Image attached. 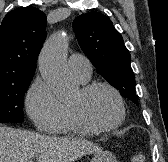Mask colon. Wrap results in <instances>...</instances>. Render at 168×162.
<instances>
[{
  "label": "colon",
  "mask_w": 168,
  "mask_h": 162,
  "mask_svg": "<svg viewBox=\"0 0 168 162\" xmlns=\"http://www.w3.org/2000/svg\"><path fill=\"white\" fill-rule=\"evenodd\" d=\"M131 162H146V158L143 154H135L131 158Z\"/></svg>",
  "instance_id": "5ec220e1"
}]
</instances>
